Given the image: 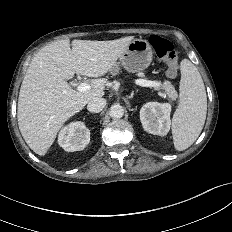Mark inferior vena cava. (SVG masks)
<instances>
[{
  "instance_id": "602c4592",
  "label": "inferior vena cava",
  "mask_w": 232,
  "mask_h": 232,
  "mask_svg": "<svg viewBox=\"0 0 232 232\" xmlns=\"http://www.w3.org/2000/svg\"><path fill=\"white\" fill-rule=\"evenodd\" d=\"M106 105V100L104 98H94L89 101L87 109L92 113H98L103 110Z\"/></svg>"
}]
</instances>
